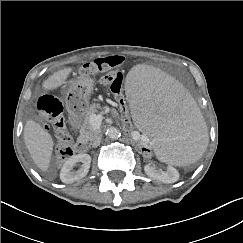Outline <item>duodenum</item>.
<instances>
[{
  "label": "duodenum",
  "mask_w": 243,
  "mask_h": 243,
  "mask_svg": "<svg viewBox=\"0 0 243 243\" xmlns=\"http://www.w3.org/2000/svg\"><path fill=\"white\" fill-rule=\"evenodd\" d=\"M76 149L79 153H83L87 149V140L80 138L76 142Z\"/></svg>",
  "instance_id": "1"
}]
</instances>
